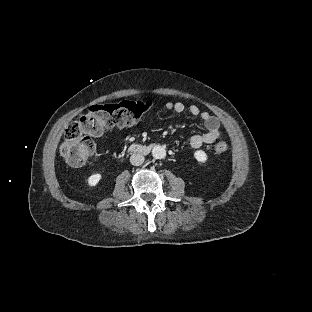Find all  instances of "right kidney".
Returning <instances> with one entry per match:
<instances>
[{"label":"right kidney","mask_w":312,"mask_h":312,"mask_svg":"<svg viewBox=\"0 0 312 312\" xmlns=\"http://www.w3.org/2000/svg\"><path fill=\"white\" fill-rule=\"evenodd\" d=\"M101 179V174H93L88 178V185L89 186H96L97 183L100 181Z\"/></svg>","instance_id":"1"}]
</instances>
